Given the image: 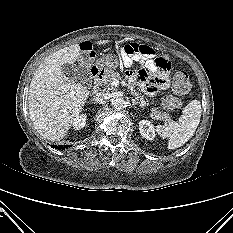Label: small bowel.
<instances>
[{"instance_id":"c3829d8e","label":"small bowel","mask_w":233,"mask_h":233,"mask_svg":"<svg viewBox=\"0 0 233 233\" xmlns=\"http://www.w3.org/2000/svg\"><path fill=\"white\" fill-rule=\"evenodd\" d=\"M83 60L88 62L94 58V49L90 42L80 45ZM122 62L126 67L135 64L139 66L137 72H130L129 78L137 80L146 92L154 96L160 90L168 87V73L171 69L170 61L153 48L137 43H128L120 47Z\"/></svg>"}]
</instances>
